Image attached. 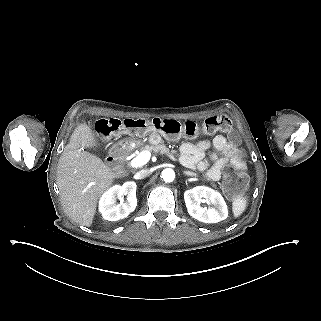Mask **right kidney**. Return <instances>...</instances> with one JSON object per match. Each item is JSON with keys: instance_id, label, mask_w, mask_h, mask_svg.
<instances>
[{"instance_id": "right-kidney-1", "label": "right kidney", "mask_w": 321, "mask_h": 321, "mask_svg": "<svg viewBox=\"0 0 321 321\" xmlns=\"http://www.w3.org/2000/svg\"><path fill=\"white\" fill-rule=\"evenodd\" d=\"M124 196H127L126 201L123 200ZM117 200H120V203ZM136 206V183L126 182L122 186L116 185L108 190L102 196L99 208L104 219L118 221L126 218Z\"/></svg>"}]
</instances>
